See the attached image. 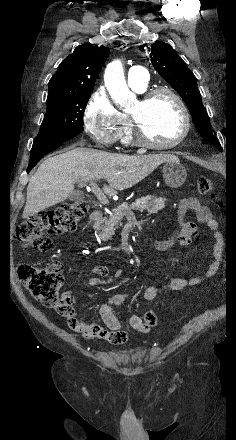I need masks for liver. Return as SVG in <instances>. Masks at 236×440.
I'll use <instances>...</instances> for the list:
<instances>
[{
	"instance_id": "liver-1",
	"label": "liver",
	"mask_w": 236,
	"mask_h": 440,
	"mask_svg": "<svg viewBox=\"0 0 236 440\" xmlns=\"http://www.w3.org/2000/svg\"><path fill=\"white\" fill-rule=\"evenodd\" d=\"M177 159L171 154L123 155L87 148H73L46 159L31 177L27 187L23 218L65 201L76 182L105 178L107 195L133 187L160 164Z\"/></svg>"
}]
</instances>
